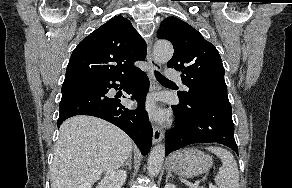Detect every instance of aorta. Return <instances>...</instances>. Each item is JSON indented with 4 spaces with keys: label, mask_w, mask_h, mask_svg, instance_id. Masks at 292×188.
I'll return each mask as SVG.
<instances>
[{
    "label": "aorta",
    "mask_w": 292,
    "mask_h": 188,
    "mask_svg": "<svg viewBox=\"0 0 292 188\" xmlns=\"http://www.w3.org/2000/svg\"><path fill=\"white\" fill-rule=\"evenodd\" d=\"M173 46L168 41H157L154 45V59L159 64H166L173 56ZM165 157V146L159 144L150 152L147 162V170L150 176L159 174Z\"/></svg>",
    "instance_id": "obj_1"
}]
</instances>
